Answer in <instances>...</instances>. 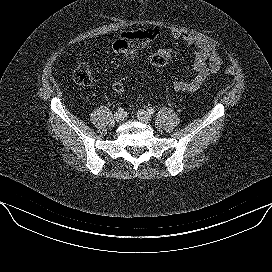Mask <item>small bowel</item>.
<instances>
[{
	"label": "small bowel",
	"instance_id": "c3829d8e",
	"mask_svg": "<svg viewBox=\"0 0 272 272\" xmlns=\"http://www.w3.org/2000/svg\"><path fill=\"white\" fill-rule=\"evenodd\" d=\"M171 36L175 40H182L188 48L196 50L192 67L196 72L191 81L176 80L172 88L176 92L194 93L199 90L210 75L216 74L223 63L218 48L204 39L197 38L188 33L173 31ZM144 47L134 38V32H123L112 44V50L117 54H123L134 63L139 52ZM158 53L165 55L168 59L172 57L173 51L169 48H160Z\"/></svg>",
	"mask_w": 272,
	"mask_h": 272
}]
</instances>
